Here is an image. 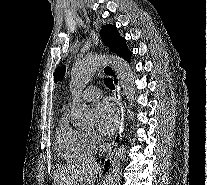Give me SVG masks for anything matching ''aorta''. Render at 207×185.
I'll return each instance as SVG.
<instances>
[{
  "mask_svg": "<svg viewBox=\"0 0 207 185\" xmlns=\"http://www.w3.org/2000/svg\"><path fill=\"white\" fill-rule=\"evenodd\" d=\"M107 62L115 68L120 85L129 101L135 96V76L127 61L116 56L89 55L73 65L71 70L70 90L73 95V124L76 128L89 130L94 125V113L82 101L80 95L96 71ZM126 147L122 145L110 161L109 172L104 185H121V169L126 158Z\"/></svg>",
  "mask_w": 207,
  "mask_h": 185,
  "instance_id": "1",
  "label": "aorta"
}]
</instances>
